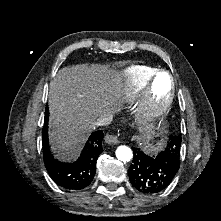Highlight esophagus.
Segmentation results:
<instances>
[{"label":"esophagus","mask_w":221,"mask_h":221,"mask_svg":"<svg viewBox=\"0 0 221 221\" xmlns=\"http://www.w3.org/2000/svg\"><path fill=\"white\" fill-rule=\"evenodd\" d=\"M105 142L108 144H118L120 142V140L117 135L107 134L105 136Z\"/></svg>","instance_id":"34e87169"}]
</instances>
